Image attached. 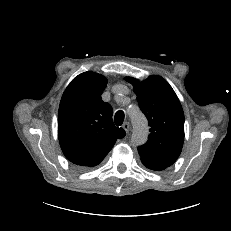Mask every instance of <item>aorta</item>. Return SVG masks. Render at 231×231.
Masks as SVG:
<instances>
[{
    "label": "aorta",
    "instance_id": "obj_1",
    "mask_svg": "<svg viewBox=\"0 0 231 231\" xmlns=\"http://www.w3.org/2000/svg\"><path fill=\"white\" fill-rule=\"evenodd\" d=\"M130 117L133 124V143L136 145L144 144L148 137V123L145 116L136 110Z\"/></svg>",
    "mask_w": 231,
    "mask_h": 231
}]
</instances>
